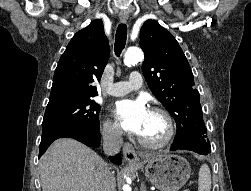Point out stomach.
<instances>
[{"label":"stomach","mask_w":251,"mask_h":191,"mask_svg":"<svg viewBox=\"0 0 251 191\" xmlns=\"http://www.w3.org/2000/svg\"><path fill=\"white\" fill-rule=\"evenodd\" d=\"M138 157L135 169L145 165V175L149 181L161 191H178L191 175V165L185 157L170 151H162L158 155H142Z\"/></svg>","instance_id":"obj_1"}]
</instances>
